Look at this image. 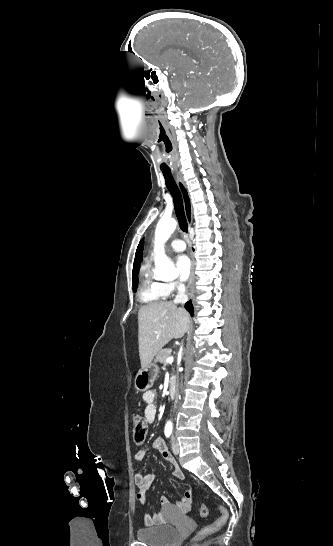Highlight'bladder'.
Segmentation results:
<instances>
[{
    "instance_id": "obj_1",
    "label": "bladder",
    "mask_w": 333,
    "mask_h": 546,
    "mask_svg": "<svg viewBox=\"0 0 333 546\" xmlns=\"http://www.w3.org/2000/svg\"><path fill=\"white\" fill-rule=\"evenodd\" d=\"M178 537L177 528L171 525L140 528L136 532V538L149 546H173Z\"/></svg>"
}]
</instances>
